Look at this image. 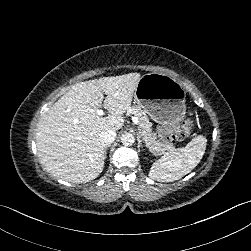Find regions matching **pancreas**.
<instances>
[{
    "label": "pancreas",
    "mask_w": 251,
    "mask_h": 251,
    "mask_svg": "<svg viewBox=\"0 0 251 251\" xmlns=\"http://www.w3.org/2000/svg\"><path fill=\"white\" fill-rule=\"evenodd\" d=\"M129 113L138 118V129L146 146L156 155H162L166 151H172L175 148L170 144H165L157 139L156 133L152 132V123L140 106H132L128 109Z\"/></svg>",
    "instance_id": "1"
}]
</instances>
